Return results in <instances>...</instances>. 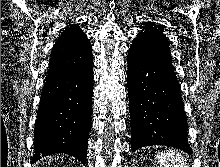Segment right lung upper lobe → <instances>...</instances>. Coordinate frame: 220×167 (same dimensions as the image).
I'll return each instance as SVG.
<instances>
[{
	"label": "right lung upper lobe",
	"instance_id": "obj_1",
	"mask_svg": "<svg viewBox=\"0 0 220 167\" xmlns=\"http://www.w3.org/2000/svg\"><path fill=\"white\" fill-rule=\"evenodd\" d=\"M92 61V47L78 24L65 28L55 43L50 59L49 74L80 69Z\"/></svg>",
	"mask_w": 220,
	"mask_h": 167
}]
</instances>
